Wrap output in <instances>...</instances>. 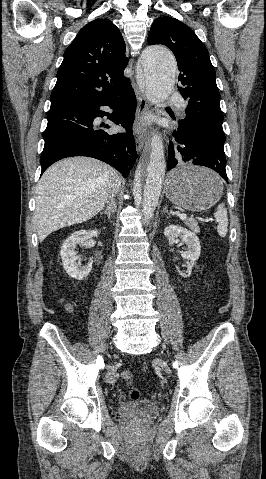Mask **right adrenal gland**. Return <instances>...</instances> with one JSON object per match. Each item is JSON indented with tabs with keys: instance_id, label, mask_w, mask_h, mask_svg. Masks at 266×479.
<instances>
[{
	"instance_id": "2a0ac1e0",
	"label": "right adrenal gland",
	"mask_w": 266,
	"mask_h": 479,
	"mask_svg": "<svg viewBox=\"0 0 266 479\" xmlns=\"http://www.w3.org/2000/svg\"><path fill=\"white\" fill-rule=\"evenodd\" d=\"M115 212H116V204L114 201H111L109 205L107 206L106 210L104 212H101V215L106 214L108 219H111L112 213H115Z\"/></svg>"
}]
</instances>
